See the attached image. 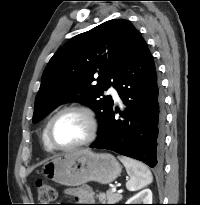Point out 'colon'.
Returning <instances> with one entry per match:
<instances>
[{"instance_id":"5ec220e1","label":"colon","mask_w":200,"mask_h":205,"mask_svg":"<svg viewBox=\"0 0 200 205\" xmlns=\"http://www.w3.org/2000/svg\"><path fill=\"white\" fill-rule=\"evenodd\" d=\"M37 197L40 204L38 205H53L50 204L56 199L55 188L45 180H37L35 183Z\"/></svg>"}]
</instances>
